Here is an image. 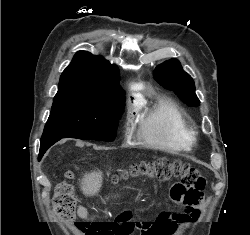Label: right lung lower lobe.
Returning <instances> with one entry per match:
<instances>
[{
  "label": "right lung lower lobe",
  "mask_w": 250,
  "mask_h": 235,
  "mask_svg": "<svg viewBox=\"0 0 250 235\" xmlns=\"http://www.w3.org/2000/svg\"><path fill=\"white\" fill-rule=\"evenodd\" d=\"M59 140L60 139H50V140L41 142L39 160L42 158V156L46 152V150Z\"/></svg>",
  "instance_id": "right-lung-lower-lobe-1"
}]
</instances>
